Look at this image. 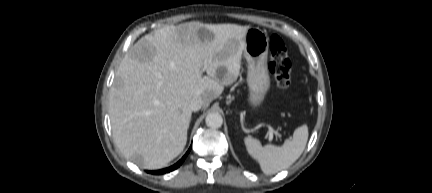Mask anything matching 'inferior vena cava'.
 I'll list each match as a JSON object with an SVG mask.
<instances>
[{"label": "inferior vena cava", "instance_id": "602c4592", "mask_svg": "<svg viewBox=\"0 0 432 193\" xmlns=\"http://www.w3.org/2000/svg\"><path fill=\"white\" fill-rule=\"evenodd\" d=\"M204 105V102L202 100V98L200 96H195L192 98L191 102H190V109L191 111H198L200 110Z\"/></svg>", "mask_w": 432, "mask_h": 193}]
</instances>
